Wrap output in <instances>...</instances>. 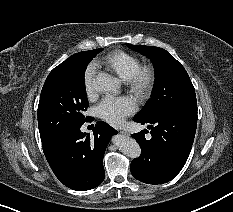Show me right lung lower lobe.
Instances as JSON below:
<instances>
[{
    "label": "right lung lower lobe",
    "mask_w": 233,
    "mask_h": 212,
    "mask_svg": "<svg viewBox=\"0 0 233 212\" xmlns=\"http://www.w3.org/2000/svg\"><path fill=\"white\" fill-rule=\"evenodd\" d=\"M83 125V124H82ZM75 126L43 144L45 157L56 177L67 187L85 191L105 178L103 155L117 131L105 122H97L93 136Z\"/></svg>",
    "instance_id": "obj_1"
}]
</instances>
